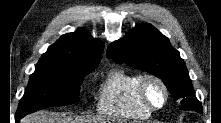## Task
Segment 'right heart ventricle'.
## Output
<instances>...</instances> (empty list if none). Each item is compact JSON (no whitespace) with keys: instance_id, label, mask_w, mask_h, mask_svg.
I'll return each mask as SVG.
<instances>
[{"instance_id":"1","label":"right heart ventricle","mask_w":221,"mask_h":123,"mask_svg":"<svg viewBox=\"0 0 221 123\" xmlns=\"http://www.w3.org/2000/svg\"><path fill=\"white\" fill-rule=\"evenodd\" d=\"M141 75L122 68L110 70L101 84L97 108L102 114L144 120L151 111L140 101L137 85Z\"/></svg>"}]
</instances>
